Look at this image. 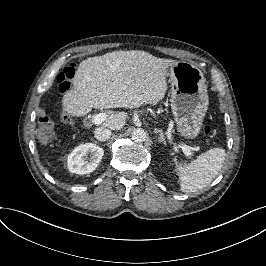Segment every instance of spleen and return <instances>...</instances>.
<instances>
[{
  "instance_id": "spleen-1",
  "label": "spleen",
  "mask_w": 266,
  "mask_h": 266,
  "mask_svg": "<svg viewBox=\"0 0 266 266\" xmlns=\"http://www.w3.org/2000/svg\"><path fill=\"white\" fill-rule=\"evenodd\" d=\"M225 157V149L215 147L188 164L181 159H175L173 172L181 192L194 193L206 188L222 170Z\"/></svg>"
}]
</instances>
